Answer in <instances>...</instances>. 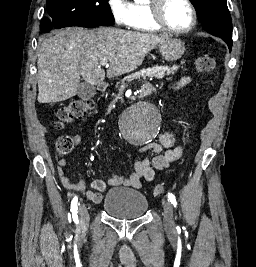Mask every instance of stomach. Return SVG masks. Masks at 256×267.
<instances>
[{
    "label": "stomach",
    "mask_w": 256,
    "mask_h": 267,
    "mask_svg": "<svg viewBox=\"0 0 256 267\" xmlns=\"http://www.w3.org/2000/svg\"><path fill=\"white\" fill-rule=\"evenodd\" d=\"M158 48L163 60H167V62L179 60L185 52V44L178 38H167L165 42L159 44Z\"/></svg>",
    "instance_id": "stomach-1"
}]
</instances>
